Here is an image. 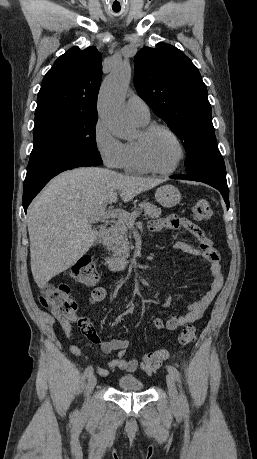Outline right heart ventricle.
Returning <instances> with one entry per match:
<instances>
[{"label": "right heart ventricle", "mask_w": 257, "mask_h": 459, "mask_svg": "<svg viewBox=\"0 0 257 459\" xmlns=\"http://www.w3.org/2000/svg\"><path fill=\"white\" fill-rule=\"evenodd\" d=\"M136 121L141 126H146L148 124V121H141L138 119H136ZM121 168L127 172L136 174H143L148 172V170L141 164L139 160L135 141H129L125 143V158Z\"/></svg>", "instance_id": "right-heart-ventricle-1"}]
</instances>
